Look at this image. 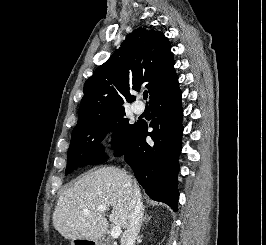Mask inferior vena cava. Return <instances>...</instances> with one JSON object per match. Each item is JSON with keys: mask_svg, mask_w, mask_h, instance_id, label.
I'll list each match as a JSON object with an SVG mask.
<instances>
[{"mask_svg": "<svg viewBox=\"0 0 266 245\" xmlns=\"http://www.w3.org/2000/svg\"><path fill=\"white\" fill-rule=\"evenodd\" d=\"M128 193H130V219L129 225L121 237V245H134L143 219L144 207L141 203L140 189L131 185Z\"/></svg>", "mask_w": 266, "mask_h": 245, "instance_id": "inferior-vena-cava-1", "label": "inferior vena cava"}]
</instances>
